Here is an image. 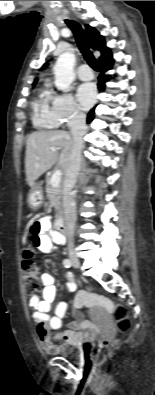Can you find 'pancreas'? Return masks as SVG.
<instances>
[{
  "mask_svg": "<svg viewBox=\"0 0 155 395\" xmlns=\"http://www.w3.org/2000/svg\"><path fill=\"white\" fill-rule=\"evenodd\" d=\"M46 193L47 197L51 200V205L59 210L61 207V198L63 194L62 186L59 184L57 187H53L51 183V176L46 177Z\"/></svg>",
  "mask_w": 155,
  "mask_h": 395,
  "instance_id": "obj_1",
  "label": "pancreas"
}]
</instances>
